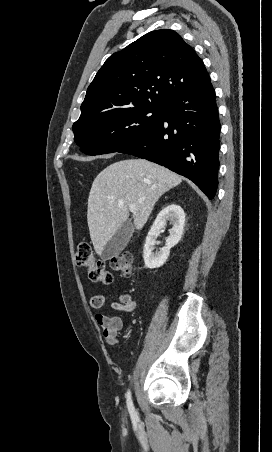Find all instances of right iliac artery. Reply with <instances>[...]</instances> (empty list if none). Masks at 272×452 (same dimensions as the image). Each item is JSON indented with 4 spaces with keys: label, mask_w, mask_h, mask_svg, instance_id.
Segmentation results:
<instances>
[{
    "label": "right iliac artery",
    "mask_w": 272,
    "mask_h": 452,
    "mask_svg": "<svg viewBox=\"0 0 272 452\" xmlns=\"http://www.w3.org/2000/svg\"><path fill=\"white\" fill-rule=\"evenodd\" d=\"M126 398H127V407H128V410H129L131 418L132 419H137L138 416H137V412L135 411V408L133 406V402H132V399H131L130 391L127 392Z\"/></svg>",
    "instance_id": "1"
}]
</instances>
